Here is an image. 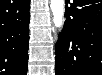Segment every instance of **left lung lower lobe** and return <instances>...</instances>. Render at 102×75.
Wrapping results in <instances>:
<instances>
[{"instance_id": "obj_1", "label": "left lung lower lobe", "mask_w": 102, "mask_h": 75, "mask_svg": "<svg viewBox=\"0 0 102 75\" xmlns=\"http://www.w3.org/2000/svg\"><path fill=\"white\" fill-rule=\"evenodd\" d=\"M55 75H102V1L66 0Z\"/></svg>"}]
</instances>
